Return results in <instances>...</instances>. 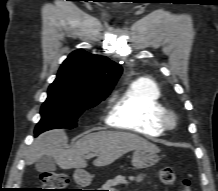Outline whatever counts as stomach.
<instances>
[{"label":"stomach","mask_w":218,"mask_h":191,"mask_svg":"<svg viewBox=\"0 0 218 191\" xmlns=\"http://www.w3.org/2000/svg\"><path fill=\"white\" fill-rule=\"evenodd\" d=\"M157 152L152 150H135L132 158V165L137 169L148 168L159 162ZM74 180L81 186H88L92 181V176L81 169L74 173Z\"/></svg>","instance_id":"stomach-1"}]
</instances>
